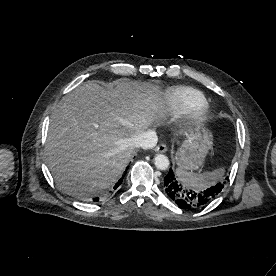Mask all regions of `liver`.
Segmentation results:
<instances>
[{"mask_svg":"<svg viewBox=\"0 0 276 276\" xmlns=\"http://www.w3.org/2000/svg\"><path fill=\"white\" fill-rule=\"evenodd\" d=\"M168 108L158 86L118 80L68 93L54 109L45 147L58 187L87 199L111 188L134 152L130 139L163 121Z\"/></svg>","mask_w":276,"mask_h":276,"instance_id":"1","label":"liver"}]
</instances>
